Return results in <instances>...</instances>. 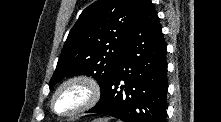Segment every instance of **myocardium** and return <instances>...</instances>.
Here are the masks:
<instances>
[{
    "label": "myocardium",
    "mask_w": 221,
    "mask_h": 122,
    "mask_svg": "<svg viewBox=\"0 0 221 122\" xmlns=\"http://www.w3.org/2000/svg\"><path fill=\"white\" fill-rule=\"evenodd\" d=\"M70 86H80L86 92L84 102L76 109L69 112H59L55 108V101L58 95ZM101 97V87L97 80L92 76L85 74L73 75L63 80L54 90L50 99V108L56 115L60 117H73L80 115L92 107H94Z\"/></svg>",
    "instance_id": "f54148a6"
}]
</instances>
